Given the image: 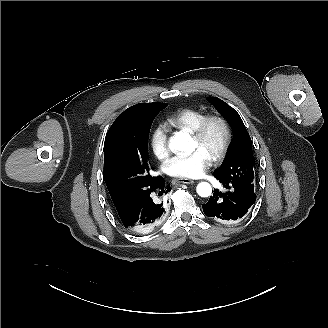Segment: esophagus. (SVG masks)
Here are the masks:
<instances>
[{"label": "esophagus", "mask_w": 328, "mask_h": 328, "mask_svg": "<svg viewBox=\"0 0 328 328\" xmlns=\"http://www.w3.org/2000/svg\"><path fill=\"white\" fill-rule=\"evenodd\" d=\"M178 183H185V184H190V183H194L195 181L189 178H179L177 179Z\"/></svg>", "instance_id": "obj_1"}]
</instances>
